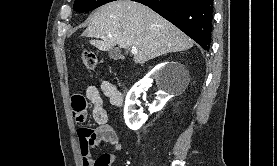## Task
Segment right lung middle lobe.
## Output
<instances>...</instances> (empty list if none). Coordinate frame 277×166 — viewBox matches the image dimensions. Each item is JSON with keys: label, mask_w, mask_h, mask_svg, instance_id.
Masks as SVG:
<instances>
[{"label": "right lung middle lobe", "mask_w": 277, "mask_h": 166, "mask_svg": "<svg viewBox=\"0 0 277 166\" xmlns=\"http://www.w3.org/2000/svg\"><path fill=\"white\" fill-rule=\"evenodd\" d=\"M115 0H76L74 3V10L76 12H87L96 9L108 2Z\"/></svg>", "instance_id": "dd1d6c3e"}]
</instances>
